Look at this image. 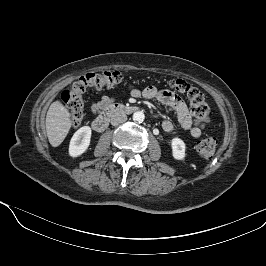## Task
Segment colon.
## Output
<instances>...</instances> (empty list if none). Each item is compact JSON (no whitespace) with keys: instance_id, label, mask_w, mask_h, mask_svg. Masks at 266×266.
Segmentation results:
<instances>
[{"instance_id":"colon-1","label":"colon","mask_w":266,"mask_h":266,"mask_svg":"<svg viewBox=\"0 0 266 266\" xmlns=\"http://www.w3.org/2000/svg\"><path fill=\"white\" fill-rule=\"evenodd\" d=\"M121 79L122 76L117 71L87 73L75 81L68 90L64 91L62 99L69 109L72 125L77 127L83 120V97L88 89H111L117 86ZM170 87L174 92L186 96L192 114L199 124H205L210 121L209 107L204 95L198 89L182 79L172 80ZM196 149L200 157L210 159L216 151V140L211 137L205 138L198 142Z\"/></svg>"}]
</instances>
